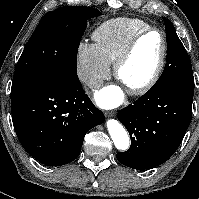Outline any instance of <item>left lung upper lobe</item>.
<instances>
[{
    "mask_svg": "<svg viewBox=\"0 0 199 199\" xmlns=\"http://www.w3.org/2000/svg\"><path fill=\"white\" fill-rule=\"evenodd\" d=\"M165 20L167 41V63L157 83L150 89L160 90L176 83H194L190 57L178 38L175 28L169 20Z\"/></svg>",
    "mask_w": 199,
    "mask_h": 199,
    "instance_id": "left-lung-upper-lobe-1",
    "label": "left lung upper lobe"
}]
</instances>
